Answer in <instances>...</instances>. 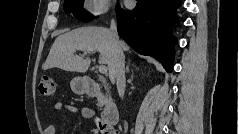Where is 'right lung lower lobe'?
<instances>
[{
	"label": "right lung lower lobe",
	"instance_id": "right-lung-lower-lobe-1",
	"mask_svg": "<svg viewBox=\"0 0 239 134\" xmlns=\"http://www.w3.org/2000/svg\"><path fill=\"white\" fill-rule=\"evenodd\" d=\"M179 0H137L132 11L116 9L118 33L136 52L159 60L171 72Z\"/></svg>",
	"mask_w": 239,
	"mask_h": 134
}]
</instances>
